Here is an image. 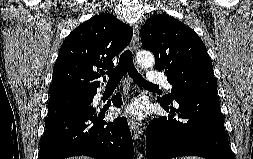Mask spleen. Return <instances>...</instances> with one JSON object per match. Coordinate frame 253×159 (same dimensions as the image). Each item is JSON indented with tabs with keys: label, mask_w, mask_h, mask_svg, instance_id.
<instances>
[{
	"label": "spleen",
	"mask_w": 253,
	"mask_h": 159,
	"mask_svg": "<svg viewBox=\"0 0 253 159\" xmlns=\"http://www.w3.org/2000/svg\"><path fill=\"white\" fill-rule=\"evenodd\" d=\"M180 159H202V158L196 157V156H188V157H182Z\"/></svg>",
	"instance_id": "obj_1"
}]
</instances>
